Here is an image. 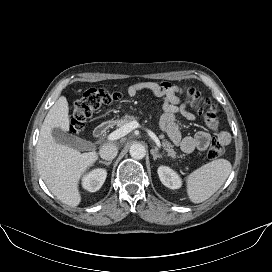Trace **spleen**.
<instances>
[{"mask_svg":"<svg viewBox=\"0 0 272 272\" xmlns=\"http://www.w3.org/2000/svg\"><path fill=\"white\" fill-rule=\"evenodd\" d=\"M232 165L226 159H217L194 170L186 177L187 194L191 202L209 199L226 181Z\"/></svg>","mask_w":272,"mask_h":272,"instance_id":"obj_1","label":"spleen"}]
</instances>
